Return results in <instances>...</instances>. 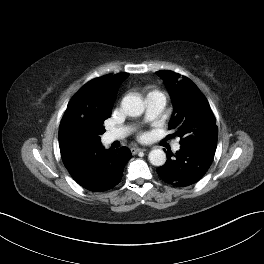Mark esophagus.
Listing matches in <instances>:
<instances>
[{
    "mask_svg": "<svg viewBox=\"0 0 264 264\" xmlns=\"http://www.w3.org/2000/svg\"><path fill=\"white\" fill-rule=\"evenodd\" d=\"M146 152L147 151V149H144V148H136V147H134V148H131V153L132 154H137L138 152Z\"/></svg>",
    "mask_w": 264,
    "mask_h": 264,
    "instance_id": "34e87169",
    "label": "esophagus"
}]
</instances>
